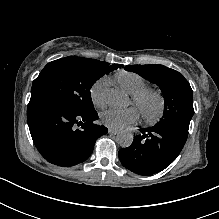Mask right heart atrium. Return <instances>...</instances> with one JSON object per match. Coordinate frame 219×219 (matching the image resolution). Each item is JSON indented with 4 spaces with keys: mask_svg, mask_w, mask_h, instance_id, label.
<instances>
[{
    "mask_svg": "<svg viewBox=\"0 0 219 219\" xmlns=\"http://www.w3.org/2000/svg\"><path fill=\"white\" fill-rule=\"evenodd\" d=\"M107 79L100 78L96 80L89 88V97L91 102L96 107H103L107 103L106 98V87H107Z\"/></svg>",
    "mask_w": 219,
    "mask_h": 219,
    "instance_id": "right-heart-atrium-1",
    "label": "right heart atrium"
}]
</instances>
